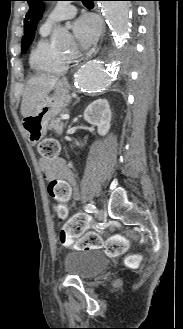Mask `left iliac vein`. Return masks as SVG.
I'll list each match as a JSON object with an SVG mask.
<instances>
[{"mask_svg":"<svg viewBox=\"0 0 183 329\" xmlns=\"http://www.w3.org/2000/svg\"><path fill=\"white\" fill-rule=\"evenodd\" d=\"M97 217L100 221L104 220L105 218V212L101 209H98L97 210Z\"/></svg>","mask_w":183,"mask_h":329,"instance_id":"4c4485c4","label":"left iliac vein"}]
</instances>
